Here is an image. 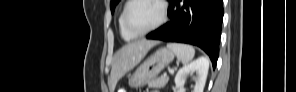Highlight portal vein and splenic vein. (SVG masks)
I'll use <instances>...</instances> for the list:
<instances>
[{
  "instance_id": "portal-vein-and-splenic-vein-1",
  "label": "portal vein and splenic vein",
  "mask_w": 296,
  "mask_h": 92,
  "mask_svg": "<svg viewBox=\"0 0 296 92\" xmlns=\"http://www.w3.org/2000/svg\"><path fill=\"white\" fill-rule=\"evenodd\" d=\"M169 73L173 74L174 73V70H169ZM163 76L166 77L167 74H164Z\"/></svg>"
}]
</instances>
